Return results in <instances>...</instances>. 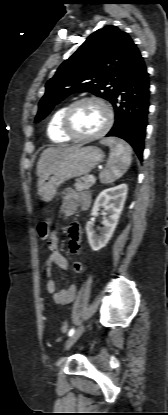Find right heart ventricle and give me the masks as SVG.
I'll return each mask as SVG.
<instances>
[{"label":"right heart ventricle","mask_w":168,"mask_h":415,"mask_svg":"<svg viewBox=\"0 0 168 415\" xmlns=\"http://www.w3.org/2000/svg\"><path fill=\"white\" fill-rule=\"evenodd\" d=\"M67 106L68 105H63L56 109L47 125V135L49 139L54 143H66L71 140L63 133L61 128L62 116Z\"/></svg>","instance_id":"obj_1"}]
</instances>
